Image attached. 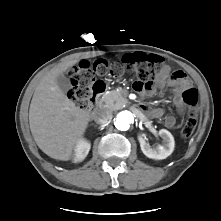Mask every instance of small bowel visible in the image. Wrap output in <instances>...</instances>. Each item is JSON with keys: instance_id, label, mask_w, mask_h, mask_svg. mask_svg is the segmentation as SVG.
<instances>
[{"instance_id": "1", "label": "small bowel", "mask_w": 221, "mask_h": 221, "mask_svg": "<svg viewBox=\"0 0 221 221\" xmlns=\"http://www.w3.org/2000/svg\"><path fill=\"white\" fill-rule=\"evenodd\" d=\"M137 53L126 54L123 57V61L127 62L131 60ZM166 84H169L173 87L175 92L174 98V106L180 114H184L185 112V104L180 97L179 93L185 87H189L191 85L190 80L187 78L185 73L182 70H174L171 71L168 65H163L160 71L158 82L156 83L155 87L149 92L153 93L157 90H161L165 87ZM144 112L152 117V118H159L163 115L164 110L162 108H148L143 107ZM177 121L174 116L168 115L165 118V125L173 129L176 127Z\"/></svg>"}]
</instances>
